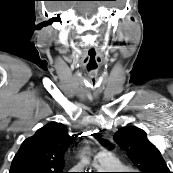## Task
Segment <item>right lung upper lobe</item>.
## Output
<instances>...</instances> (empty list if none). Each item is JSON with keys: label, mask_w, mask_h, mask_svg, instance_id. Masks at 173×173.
Instances as JSON below:
<instances>
[{"label": "right lung upper lobe", "mask_w": 173, "mask_h": 173, "mask_svg": "<svg viewBox=\"0 0 173 173\" xmlns=\"http://www.w3.org/2000/svg\"><path fill=\"white\" fill-rule=\"evenodd\" d=\"M76 136L68 135L67 128L61 123L45 125L22 143L9 173H63L64 152Z\"/></svg>", "instance_id": "obj_1"}]
</instances>
